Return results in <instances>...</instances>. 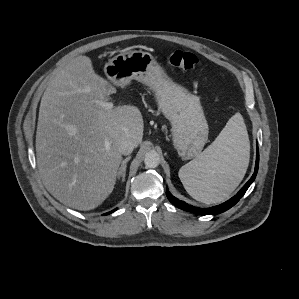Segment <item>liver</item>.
I'll list each match as a JSON object with an SVG mask.
<instances>
[{"instance_id":"obj_1","label":"liver","mask_w":299,"mask_h":299,"mask_svg":"<svg viewBox=\"0 0 299 299\" xmlns=\"http://www.w3.org/2000/svg\"><path fill=\"white\" fill-rule=\"evenodd\" d=\"M114 88L95 73L91 59H72L46 88L36 132L37 167L47 191L81 211L98 207L113 191L122 156L121 141L138 146L144 121L131 105L107 110Z\"/></svg>"}]
</instances>
